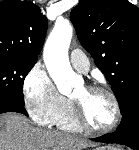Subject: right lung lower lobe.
Returning <instances> with one entry per match:
<instances>
[{
  "mask_svg": "<svg viewBox=\"0 0 139 150\" xmlns=\"http://www.w3.org/2000/svg\"><path fill=\"white\" fill-rule=\"evenodd\" d=\"M6 112H18L28 116L27 111L24 108V103L9 99V98H0V114Z\"/></svg>",
  "mask_w": 139,
  "mask_h": 150,
  "instance_id": "1",
  "label": "right lung lower lobe"
}]
</instances>
